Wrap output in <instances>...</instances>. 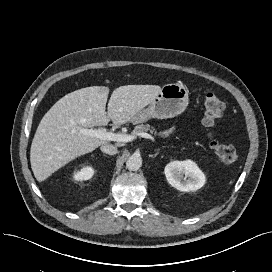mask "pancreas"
Masks as SVG:
<instances>
[{"instance_id": "pancreas-1", "label": "pancreas", "mask_w": 272, "mask_h": 272, "mask_svg": "<svg viewBox=\"0 0 272 272\" xmlns=\"http://www.w3.org/2000/svg\"><path fill=\"white\" fill-rule=\"evenodd\" d=\"M150 132V133H155L157 134V131L155 130L154 127H151L149 124H140V125H137L135 126L134 130H133V134L137 135L139 133H142V132Z\"/></svg>"}]
</instances>
